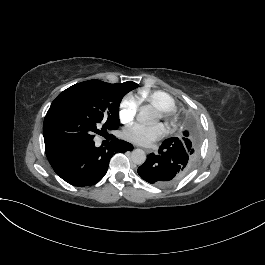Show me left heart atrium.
Here are the masks:
<instances>
[{
  "instance_id": "1",
  "label": "left heart atrium",
  "mask_w": 265,
  "mask_h": 265,
  "mask_svg": "<svg viewBox=\"0 0 265 265\" xmlns=\"http://www.w3.org/2000/svg\"><path fill=\"white\" fill-rule=\"evenodd\" d=\"M166 134L165 128L160 125H145L135 123L127 127L123 132V137L135 144L149 145L152 142L159 140Z\"/></svg>"
}]
</instances>
